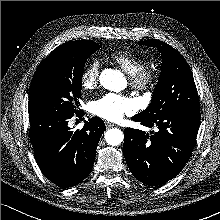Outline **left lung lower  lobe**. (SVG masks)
Returning <instances> with one entry per match:
<instances>
[{"label": "left lung lower lobe", "instance_id": "0a47b994", "mask_svg": "<svg viewBox=\"0 0 220 220\" xmlns=\"http://www.w3.org/2000/svg\"><path fill=\"white\" fill-rule=\"evenodd\" d=\"M200 112L172 111L155 118L132 119L157 132L146 134L126 128L123 152L127 165L140 182L158 186L176 177L189 160L200 126Z\"/></svg>", "mask_w": 220, "mask_h": 220}]
</instances>
